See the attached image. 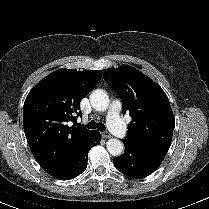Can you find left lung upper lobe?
<instances>
[{
    "label": "left lung upper lobe",
    "mask_w": 209,
    "mask_h": 209,
    "mask_svg": "<svg viewBox=\"0 0 209 209\" xmlns=\"http://www.w3.org/2000/svg\"><path fill=\"white\" fill-rule=\"evenodd\" d=\"M103 77L122 100V113L132 117L123 141L166 154L175 118L162 88L131 66L108 69Z\"/></svg>",
    "instance_id": "1"
}]
</instances>
